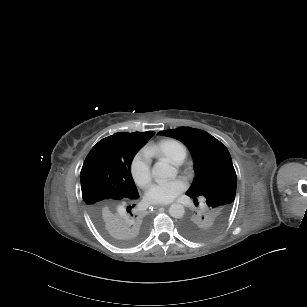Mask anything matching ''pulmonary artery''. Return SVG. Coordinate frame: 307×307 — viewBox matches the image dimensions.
<instances>
[{
	"instance_id": "obj_1",
	"label": "pulmonary artery",
	"mask_w": 307,
	"mask_h": 307,
	"mask_svg": "<svg viewBox=\"0 0 307 307\" xmlns=\"http://www.w3.org/2000/svg\"><path fill=\"white\" fill-rule=\"evenodd\" d=\"M162 149H163V146H162V145H155V146H153V150H154V152L157 153V154L160 153V152L162 151ZM182 160H183V159L178 158V159H175V162L181 163Z\"/></svg>"
}]
</instances>
